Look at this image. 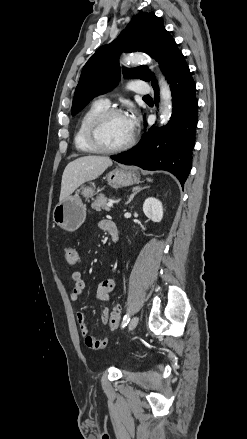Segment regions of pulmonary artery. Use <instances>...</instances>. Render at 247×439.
Returning <instances> with one entry per match:
<instances>
[{"label": "pulmonary artery", "mask_w": 247, "mask_h": 439, "mask_svg": "<svg viewBox=\"0 0 247 439\" xmlns=\"http://www.w3.org/2000/svg\"><path fill=\"white\" fill-rule=\"evenodd\" d=\"M130 90L139 93V94H148L150 92L149 85L143 80H133L129 84ZM101 103L105 105H109L110 101L108 98H101L99 100Z\"/></svg>", "instance_id": "obj_1"}]
</instances>
